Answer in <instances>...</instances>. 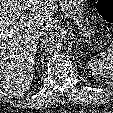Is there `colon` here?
Returning a JSON list of instances; mask_svg holds the SVG:
<instances>
[{
  "label": "colon",
  "mask_w": 113,
  "mask_h": 113,
  "mask_svg": "<svg viewBox=\"0 0 113 113\" xmlns=\"http://www.w3.org/2000/svg\"><path fill=\"white\" fill-rule=\"evenodd\" d=\"M96 9L102 19L113 22V0H98Z\"/></svg>",
  "instance_id": "obj_1"
}]
</instances>
